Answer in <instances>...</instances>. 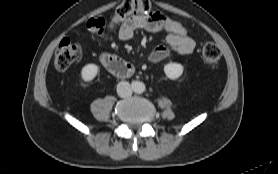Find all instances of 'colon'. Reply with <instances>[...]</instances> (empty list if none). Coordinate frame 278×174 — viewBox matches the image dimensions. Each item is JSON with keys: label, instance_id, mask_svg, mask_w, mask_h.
<instances>
[{"label": "colon", "instance_id": "obj_1", "mask_svg": "<svg viewBox=\"0 0 278 174\" xmlns=\"http://www.w3.org/2000/svg\"><path fill=\"white\" fill-rule=\"evenodd\" d=\"M150 4L147 0H125L121 3L110 22L109 27L106 26V21L99 17L90 19L87 22V28L91 33L104 35L107 32L115 31L120 24L128 17L138 13H149ZM161 21L164 27L179 36L188 37V29L180 21L172 19L168 16H163ZM83 52V45L78 41L65 38L62 40L56 50L54 64L56 69L64 71L74 62H76ZM221 52L219 47L214 43H207L202 49V58L204 63L209 67H215L220 60Z\"/></svg>", "mask_w": 278, "mask_h": 174}]
</instances>
